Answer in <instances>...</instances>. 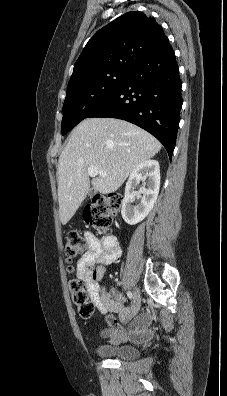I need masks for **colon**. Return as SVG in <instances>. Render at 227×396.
I'll use <instances>...</instances> for the list:
<instances>
[{
	"label": "colon",
	"instance_id": "obj_1",
	"mask_svg": "<svg viewBox=\"0 0 227 396\" xmlns=\"http://www.w3.org/2000/svg\"><path fill=\"white\" fill-rule=\"evenodd\" d=\"M122 198L117 194L95 196L84 211L85 222L102 232H108L114 216L121 208ZM65 255L69 261L83 254L87 250L86 240L77 232H70L65 238ZM72 271V267H69ZM69 290L72 301L77 306L81 318L89 319L94 313L95 305L89 300L85 285L79 278L69 280Z\"/></svg>",
	"mask_w": 227,
	"mask_h": 396
}]
</instances>
